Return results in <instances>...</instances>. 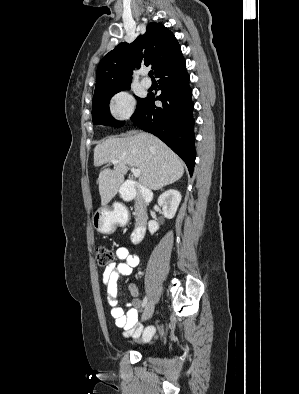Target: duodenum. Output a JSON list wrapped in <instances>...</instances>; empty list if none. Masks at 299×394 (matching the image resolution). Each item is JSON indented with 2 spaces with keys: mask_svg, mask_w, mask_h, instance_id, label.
<instances>
[{
  "mask_svg": "<svg viewBox=\"0 0 299 394\" xmlns=\"http://www.w3.org/2000/svg\"><path fill=\"white\" fill-rule=\"evenodd\" d=\"M134 186L129 184L120 188V192L124 195L127 200H131L134 197L132 192ZM138 210H137V223L132 233L131 239L133 242H139L146 231V224L148 220L147 206L153 199V193L151 190L143 187L138 188Z\"/></svg>",
  "mask_w": 299,
  "mask_h": 394,
  "instance_id": "410a0bca",
  "label": "duodenum"
}]
</instances>
